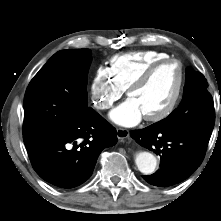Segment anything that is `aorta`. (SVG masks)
I'll return each instance as SVG.
<instances>
[{"label":"aorta","mask_w":221,"mask_h":221,"mask_svg":"<svg viewBox=\"0 0 221 221\" xmlns=\"http://www.w3.org/2000/svg\"><path fill=\"white\" fill-rule=\"evenodd\" d=\"M135 163L143 174H152L157 166L156 157L149 152H139L135 157Z\"/></svg>","instance_id":"1"}]
</instances>
